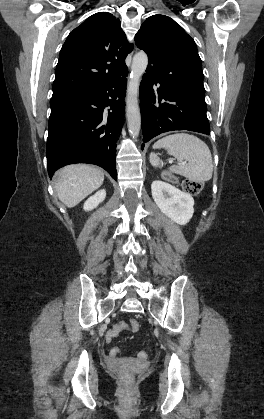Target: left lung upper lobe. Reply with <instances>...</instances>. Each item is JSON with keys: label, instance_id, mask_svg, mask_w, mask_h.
<instances>
[{"label": "left lung upper lobe", "instance_id": "left-lung-upper-lobe-1", "mask_svg": "<svg viewBox=\"0 0 264 419\" xmlns=\"http://www.w3.org/2000/svg\"><path fill=\"white\" fill-rule=\"evenodd\" d=\"M135 43L149 57L147 69L165 80H179L187 87L203 83L201 59L194 40L170 17H148L135 35Z\"/></svg>", "mask_w": 264, "mask_h": 419}]
</instances>
